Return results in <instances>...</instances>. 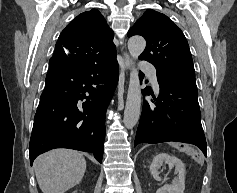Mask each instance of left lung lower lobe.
Segmentation results:
<instances>
[{"mask_svg":"<svg viewBox=\"0 0 237 193\" xmlns=\"http://www.w3.org/2000/svg\"><path fill=\"white\" fill-rule=\"evenodd\" d=\"M141 80L144 75L140 73ZM160 96L155 98L151 87L142 92L154 101H143L142 114L134 145L168 141L198 146L206 156V139L201 125L196 84L181 83L157 76ZM156 101V102H155Z\"/></svg>","mask_w":237,"mask_h":193,"instance_id":"1","label":"left lung lower lobe"}]
</instances>
